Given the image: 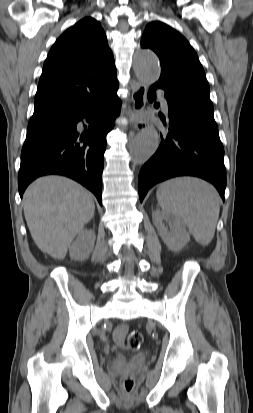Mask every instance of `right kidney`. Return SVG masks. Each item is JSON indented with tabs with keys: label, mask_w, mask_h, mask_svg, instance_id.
<instances>
[{
	"label": "right kidney",
	"mask_w": 253,
	"mask_h": 413,
	"mask_svg": "<svg viewBox=\"0 0 253 413\" xmlns=\"http://www.w3.org/2000/svg\"><path fill=\"white\" fill-rule=\"evenodd\" d=\"M94 230H82L69 248L70 257L73 260H86L89 258L95 244Z\"/></svg>",
	"instance_id": "right-kidney-1"
}]
</instances>
